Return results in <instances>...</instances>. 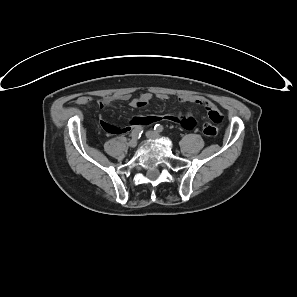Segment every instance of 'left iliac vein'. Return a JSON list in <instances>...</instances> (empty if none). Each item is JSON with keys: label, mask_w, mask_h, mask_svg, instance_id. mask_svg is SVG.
<instances>
[{"label": "left iliac vein", "mask_w": 297, "mask_h": 297, "mask_svg": "<svg viewBox=\"0 0 297 297\" xmlns=\"http://www.w3.org/2000/svg\"><path fill=\"white\" fill-rule=\"evenodd\" d=\"M147 136L149 138H158L159 137V134L157 132L149 131V132H147Z\"/></svg>", "instance_id": "obj_1"}]
</instances>
